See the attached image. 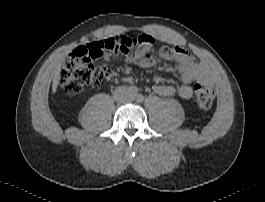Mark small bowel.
I'll return each mask as SVG.
<instances>
[{
    "instance_id": "small-bowel-1",
    "label": "small bowel",
    "mask_w": 265,
    "mask_h": 202,
    "mask_svg": "<svg viewBox=\"0 0 265 202\" xmlns=\"http://www.w3.org/2000/svg\"><path fill=\"white\" fill-rule=\"evenodd\" d=\"M148 39L145 41L146 44H152L155 41V36L153 34H148ZM74 54L77 55H91L90 45L80 46L74 50ZM97 56L104 57L108 59L110 57L109 53H101ZM160 56L164 60L170 61L175 64L180 77L181 85L175 87L169 84H156L153 90L164 97H170L177 94L180 98L184 100H189L193 97L192 84L199 81H205V70L204 67L198 64L194 58L183 50L178 45L164 46L160 50ZM129 61L137 63L141 67L151 68L154 67V59L146 53L142 48L137 49L132 55L127 58ZM125 82L131 83L133 81L132 76L127 74L124 79ZM158 81V79H156Z\"/></svg>"
}]
</instances>
